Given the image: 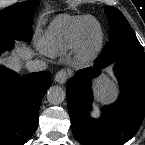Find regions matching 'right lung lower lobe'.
I'll use <instances>...</instances> for the list:
<instances>
[{
	"mask_svg": "<svg viewBox=\"0 0 145 145\" xmlns=\"http://www.w3.org/2000/svg\"><path fill=\"white\" fill-rule=\"evenodd\" d=\"M51 84L50 72L19 78L0 68V145H23L32 137L41 100Z\"/></svg>",
	"mask_w": 145,
	"mask_h": 145,
	"instance_id": "right-lung-lower-lobe-1",
	"label": "right lung lower lobe"
}]
</instances>
